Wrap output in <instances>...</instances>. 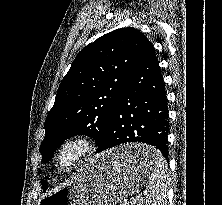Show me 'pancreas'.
Instances as JSON below:
<instances>
[{
	"label": "pancreas",
	"mask_w": 222,
	"mask_h": 205,
	"mask_svg": "<svg viewBox=\"0 0 222 205\" xmlns=\"http://www.w3.org/2000/svg\"><path fill=\"white\" fill-rule=\"evenodd\" d=\"M120 205H126V204L122 203V204H120Z\"/></svg>",
	"instance_id": "pancreas-1"
}]
</instances>
